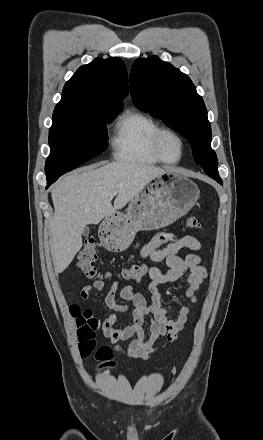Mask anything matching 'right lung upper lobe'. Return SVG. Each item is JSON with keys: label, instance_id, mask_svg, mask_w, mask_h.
Returning a JSON list of instances; mask_svg holds the SVG:
<instances>
[{"label": "right lung upper lobe", "instance_id": "1", "mask_svg": "<svg viewBox=\"0 0 263 440\" xmlns=\"http://www.w3.org/2000/svg\"><path fill=\"white\" fill-rule=\"evenodd\" d=\"M127 94L124 63L119 58H97L80 67L65 84L53 119H71L101 112L120 113Z\"/></svg>", "mask_w": 263, "mask_h": 440}]
</instances>
